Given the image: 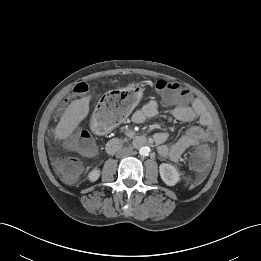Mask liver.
<instances>
[{
	"label": "liver",
	"mask_w": 261,
	"mask_h": 261,
	"mask_svg": "<svg viewBox=\"0 0 261 261\" xmlns=\"http://www.w3.org/2000/svg\"><path fill=\"white\" fill-rule=\"evenodd\" d=\"M90 99V96H86L70 103L54 130L56 139L63 140L72 134L80 122L88 115Z\"/></svg>",
	"instance_id": "obj_1"
}]
</instances>
